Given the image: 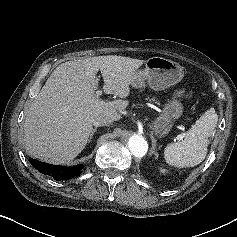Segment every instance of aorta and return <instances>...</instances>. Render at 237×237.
<instances>
[{"instance_id": "aorta-1", "label": "aorta", "mask_w": 237, "mask_h": 237, "mask_svg": "<svg viewBox=\"0 0 237 237\" xmlns=\"http://www.w3.org/2000/svg\"><path fill=\"white\" fill-rule=\"evenodd\" d=\"M128 148L134 156L143 157L147 152L148 144L142 136L134 135L128 140Z\"/></svg>"}]
</instances>
